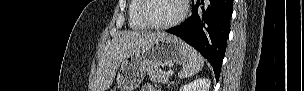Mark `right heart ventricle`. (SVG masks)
I'll list each match as a JSON object with an SVG mask.
<instances>
[{
  "label": "right heart ventricle",
  "mask_w": 304,
  "mask_h": 91,
  "mask_svg": "<svg viewBox=\"0 0 304 91\" xmlns=\"http://www.w3.org/2000/svg\"><path fill=\"white\" fill-rule=\"evenodd\" d=\"M139 9H140V0L130 1L128 7V19H129L130 27L134 30H144L147 28L139 17Z\"/></svg>",
  "instance_id": "right-heart-ventricle-1"
}]
</instances>
